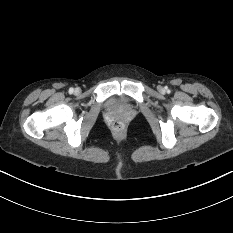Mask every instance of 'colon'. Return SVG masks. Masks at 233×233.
Returning a JSON list of instances; mask_svg holds the SVG:
<instances>
[{"label": "colon", "instance_id": "obj_1", "mask_svg": "<svg viewBox=\"0 0 233 233\" xmlns=\"http://www.w3.org/2000/svg\"><path fill=\"white\" fill-rule=\"evenodd\" d=\"M113 129L115 131H121L123 129V124L121 122H115L113 124Z\"/></svg>", "mask_w": 233, "mask_h": 233}]
</instances>
